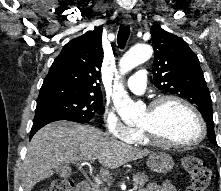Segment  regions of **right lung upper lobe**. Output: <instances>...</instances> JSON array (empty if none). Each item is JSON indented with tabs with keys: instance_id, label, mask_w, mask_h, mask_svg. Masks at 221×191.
Here are the masks:
<instances>
[{
	"instance_id": "obj_1",
	"label": "right lung upper lobe",
	"mask_w": 221,
	"mask_h": 191,
	"mask_svg": "<svg viewBox=\"0 0 221 191\" xmlns=\"http://www.w3.org/2000/svg\"><path fill=\"white\" fill-rule=\"evenodd\" d=\"M102 29L72 39L54 60L37 101L68 97H102Z\"/></svg>"
}]
</instances>
